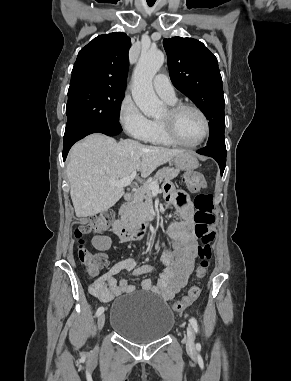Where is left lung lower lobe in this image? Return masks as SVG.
<instances>
[{"instance_id": "left-lung-lower-lobe-1", "label": "left lung lower lobe", "mask_w": 291, "mask_h": 381, "mask_svg": "<svg viewBox=\"0 0 291 381\" xmlns=\"http://www.w3.org/2000/svg\"><path fill=\"white\" fill-rule=\"evenodd\" d=\"M197 153L214 158L220 166L221 175L223 174L225 165H226V146L225 145H215V146L207 145L206 147L198 150Z\"/></svg>"}]
</instances>
